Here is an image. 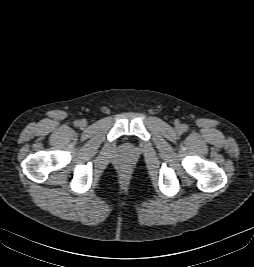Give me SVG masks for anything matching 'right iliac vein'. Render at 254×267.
Instances as JSON below:
<instances>
[{
  "instance_id": "right-iliac-vein-1",
  "label": "right iliac vein",
  "mask_w": 254,
  "mask_h": 267,
  "mask_svg": "<svg viewBox=\"0 0 254 267\" xmlns=\"http://www.w3.org/2000/svg\"><path fill=\"white\" fill-rule=\"evenodd\" d=\"M86 125H87V122L85 120L80 121L81 127H86Z\"/></svg>"
}]
</instances>
